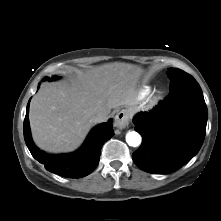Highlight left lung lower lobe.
<instances>
[{"mask_svg": "<svg viewBox=\"0 0 221 221\" xmlns=\"http://www.w3.org/2000/svg\"><path fill=\"white\" fill-rule=\"evenodd\" d=\"M207 118V106L196 80L178 85L150 112L134 117L135 130L143 140L132 155L133 161L153 174L178 170L200 150Z\"/></svg>", "mask_w": 221, "mask_h": 221, "instance_id": "obj_1", "label": "left lung lower lobe"}]
</instances>
